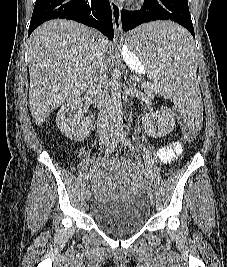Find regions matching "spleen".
Instances as JSON below:
<instances>
[{"instance_id": "3e777b00", "label": "spleen", "mask_w": 227, "mask_h": 267, "mask_svg": "<svg viewBox=\"0 0 227 267\" xmlns=\"http://www.w3.org/2000/svg\"><path fill=\"white\" fill-rule=\"evenodd\" d=\"M195 39L174 19H153L126 31L125 47L135 51L140 63H147V77L161 81L164 94L176 102L180 115H202L200 90L197 81ZM157 63V72H152ZM161 74V76H159ZM190 129H201L205 116H185Z\"/></svg>"}]
</instances>
